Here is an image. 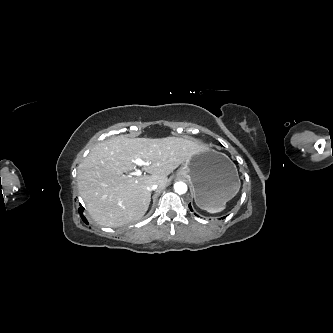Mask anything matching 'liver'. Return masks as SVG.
Masks as SVG:
<instances>
[{
  "mask_svg": "<svg viewBox=\"0 0 333 333\" xmlns=\"http://www.w3.org/2000/svg\"><path fill=\"white\" fill-rule=\"evenodd\" d=\"M207 147L185 138L113 137L95 145L78 165V189L94 221L105 227H119L140 219L148 210L156 183L165 187L167 176L192 155ZM149 165L141 176L125 172L136 169L133 160Z\"/></svg>",
  "mask_w": 333,
  "mask_h": 333,
  "instance_id": "1",
  "label": "liver"
}]
</instances>
